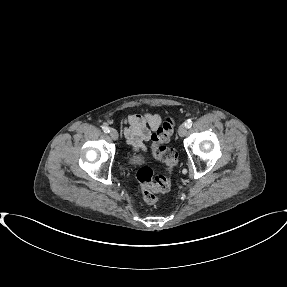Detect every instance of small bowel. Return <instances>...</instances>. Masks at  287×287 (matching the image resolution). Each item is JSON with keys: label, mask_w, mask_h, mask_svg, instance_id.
Returning <instances> with one entry per match:
<instances>
[{"label": "small bowel", "mask_w": 287, "mask_h": 287, "mask_svg": "<svg viewBox=\"0 0 287 287\" xmlns=\"http://www.w3.org/2000/svg\"><path fill=\"white\" fill-rule=\"evenodd\" d=\"M161 125V119L153 114H132L125 119L124 134L135 151H144L145 142Z\"/></svg>", "instance_id": "obj_1"}]
</instances>
